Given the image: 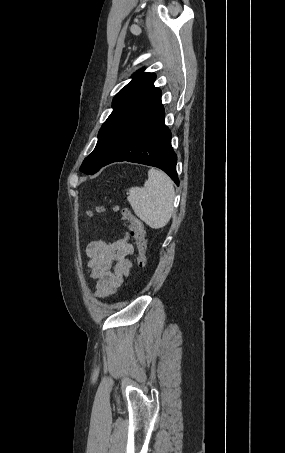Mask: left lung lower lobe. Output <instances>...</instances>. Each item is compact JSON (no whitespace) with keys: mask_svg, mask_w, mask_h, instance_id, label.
Returning a JSON list of instances; mask_svg holds the SVG:
<instances>
[{"mask_svg":"<svg viewBox=\"0 0 285 453\" xmlns=\"http://www.w3.org/2000/svg\"><path fill=\"white\" fill-rule=\"evenodd\" d=\"M164 118L160 93L124 131L103 166L119 161L155 166L165 171L179 185L177 156L171 146V132L165 125Z\"/></svg>","mask_w":285,"mask_h":453,"instance_id":"left-lung-lower-lobe-1","label":"left lung lower lobe"}]
</instances>
